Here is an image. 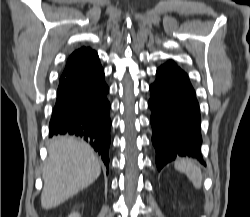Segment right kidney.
<instances>
[{"instance_id": "obj_1", "label": "right kidney", "mask_w": 250, "mask_h": 217, "mask_svg": "<svg viewBox=\"0 0 250 217\" xmlns=\"http://www.w3.org/2000/svg\"><path fill=\"white\" fill-rule=\"evenodd\" d=\"M68 217H81V216L77 212H72Z\"/></svg>"}]
</instances>
